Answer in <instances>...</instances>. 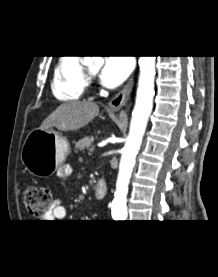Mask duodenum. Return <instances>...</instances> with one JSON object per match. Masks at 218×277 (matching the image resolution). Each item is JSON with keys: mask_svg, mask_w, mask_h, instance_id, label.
I'll use <instances>...</instances> for the list:
<instances>
[{"mask_svg": "<svg viewBox=\"0 0 218 277\" xmlns=\"http://www.w3.org/2000/svg\"><path fill=\"white\" fill-rule=\"evenodd\" d=\"M94 191L97 199L105 198L107 194V183L104 180H98L94 185Z\"/></svg>", "mask_w": 218, "mask_h": 277, "instance_id": "duodenum-1", "label": "duodenum"}]
</instances>
